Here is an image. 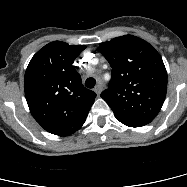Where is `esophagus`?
<instances>
[{"instance_id":"1","label":"esophagus","mask_w":187,"mask_h":187,"mask_svg":"<svg viewBox=\"0 0 187 187\" xmlns=\"http://www.w3.org/2000/svg\"><path fill=\"white\" fill-rule=\"evenodd\" d=\"M102 90H103V84L102 83H98L97 86L95 87L94 91L96 92L97 95H100Z\"/></svg>"}]
</instances>
